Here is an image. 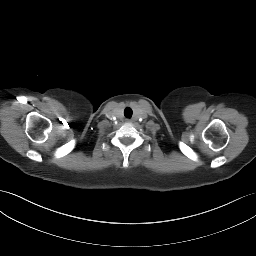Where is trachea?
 <instances>
[{
    "label": "trachea",
    "instance_id": "3493384b",
    "mask_svg": "<svg viewBox=\"0 0 256 256\" xmlns=\"http://www.w3.org/2000/svg\"><path fill=\"white\" fill-rule=\"evenodd\" d=\"M124 115H125V117H127V118H131V116H132V109L126 108V109L124 110Z\"/></svg>",
    "mask_w": 256,
    "mask_h": 256
}]
</instances>
